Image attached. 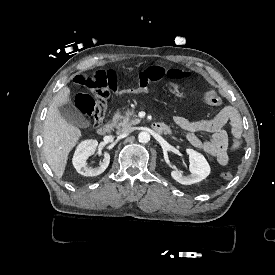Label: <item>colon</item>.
Returning <instances> with one entry per match:
<instances>
[{"label": "colon", "mask_w": 275, "mask_h": 275, "mask_svg": "<svg viewBox=\"0 0 275 275\" xmlns=\"http://www.w3.org/2000/svg\"><path fill=\"white\" fill-rule=\"evenodd\" d=\"M82 77H75L73 85L75 88H82L84 92H79L74 98V102L83 117H86L90 123H102L108 106V81L104 80L102 72H91L89 77L87 70L81 71ZM166 91L181 97H196L210 106L219 107L223 104L220 95L211 90H205L200 93H192L185 85H161ZM226 179L231 178L232 173L226 171L222 174Z\"/></svg>", "instance_id": "5ec220e1"}]
</instances>
